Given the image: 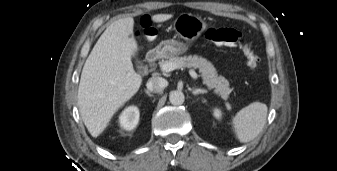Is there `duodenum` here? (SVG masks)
I'll return each mask as SVG.
<instances>
[{
    "instance_id": "410a0bca",
    "label": "duodenum",
    "mask_w": 337,
    "mask_h": 171,
    "mask_svg": "<svg viewBox=\"0 0 337 171\" xmlns=\"http://www.w3.org/2000/svg\"><path fill=\"white\" fill-rule=\"evenodd\" d=\"M161 56L162 51L160 49L155 48L149 51L146 57L148 67L153 68Z\"/></svg>"
}]
</instances>
